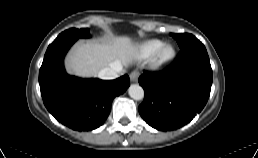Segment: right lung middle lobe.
I'll return each mask as SVG.
<instances>
[{
	"instance_id": "1",
	"label": "right lung middle lobe",
	"mask_w": 258,
	"mask_h": 158,
	"mask_svg": "<svg viewBox=\"0 0 258 158\" xmlns=\"http://www.w3.org/2000/svg\"><path fill=\"white\" fill-rule=\"evenodd\" d=\"M89 30L88 29H68L61 34L56 39H62V38H74V39H79V38H89Z\"/></svg>"
}]
</instances>
